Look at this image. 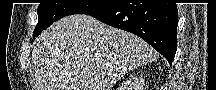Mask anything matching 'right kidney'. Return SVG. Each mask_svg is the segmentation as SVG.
Returning a JSON list of instances; mask_svg holds the SVG:
<instances>
[{
    "mask_svg": "<svg viewBox=\"0 0 216 90\" xmlns=\"http://www.w3.org/2000/svg\"><path fill=\"white\" fill-rule=\"evenodd\" d=\"M135 88H137V84H135V86H130V84H128L127 86V90H135ZM139 88H141V86H139Z\"/></svg>",
    "mask_w": 216,
    "mask_h": 90,
    "instance_id": "obj_1",
    "label": "right kidney"
}]
</instances>
